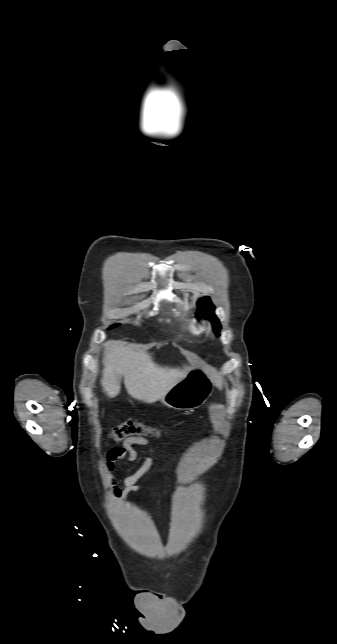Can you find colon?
Segmentation results:
<instances>
[{"mask_svg": "<svg viewBox=\"0 0 337 644\" xmlns=\"http://www.w3.org/2000/svg\"><path fill=\"white\" fill-rule=\"evenodd\" d=\"M155 430L139 422L126 421L115 426L111 432L112 438L117 441H123L130 437L144 438L155 435Z\"/></svg>", "mask_w": 337, "mask_h": 644, "instance_id": "obj_1", "label": "colon"}]
</instances>
